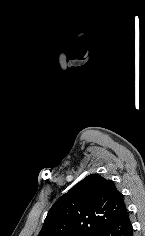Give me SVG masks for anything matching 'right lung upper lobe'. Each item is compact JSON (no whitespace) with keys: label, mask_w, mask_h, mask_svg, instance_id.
Masks as SVG:
<instances>
[{"label":"right lung upper lobe","mask_w":145,"mask_h":236,"mask_svg":"<svg viewBox=\"0 0 145 236\" xmlns=\"http://www.w3.org/2000/svg\"><path fill=\"white\" fill-rule=\"evenodd\" d=\"M126 210L114 183L91 174L54 203L38 236H96Z\"/></svg>","instance_id":"right-lung-upper-lobe-1"}]
</instances>
